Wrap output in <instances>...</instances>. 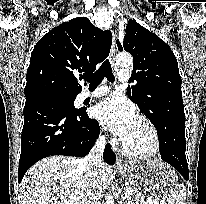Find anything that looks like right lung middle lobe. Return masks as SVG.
Returning <instances> with one entry per match:
<instances>
[{
	"instance_id": "dd1d6c3e",
	"label": "right lung middle lobe",
	"mask_w": 206,
	"mask_h": 204,
	"mask_svg": "<svg viewBox=\"0 0 206 204\" xmlns=\"http://www.w3.org/2000/svg\"><path fill=\"white\" fill-rule=\"evenodd\" d=\"M75 99H76V95L42 94V95H37L31 98H27L25 104H28L34 101H39V100H47V101H53V102L64 104L70 110L77 111L74 108Z\"/></svg>"
}]
</instances>
